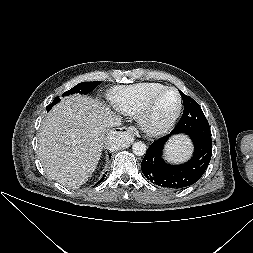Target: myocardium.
I'll use <instances>...</instances> for the list:
<instances>
[{
	"mask_svg": "<svg viewBox=\"0 0 253 253\" xmlns=\"http://www.w3.org/2000/svg\"><path fill=\"white\" fill-rule=\"evenodd\" d=\"M166 91H174L176 93L178 97L177 108L175 112L172 114V116L165 122L160 124H153L151 121L152 109L157 99ZM181 110H182V96L178 91V89L175 87H164L163 89L153 93L146 99L141 111L137 116L138 124L145 133L151 136H158L167 132L174 125V123L176 122L181 113Z\"/></svg>",
	"mask_w": 253,
	"mask_h": 253,
	"instance_id": "f54148a6",
	"label": "myocardium"
}]
</instances>
